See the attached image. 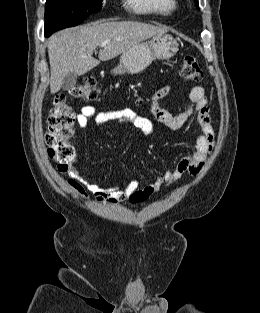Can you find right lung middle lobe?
<instances>
[{"instance_id":"obj_1","label":"right lung middle lobe","mask_w":260,"mask_h":313,"mask_svg":"<svg viewBox=\"0 0 260 313\" xmlns=\"http://www.w3.org/2000/svg\"><path fill=\"white\" fill-rule=\"evenodd\" d=\"M103 0H47L45 35L80 24L90 14L101 10Z\"/></svg>"}]
</instances>
